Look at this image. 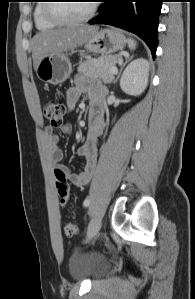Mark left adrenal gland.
I'll use <instances>...</instances> for the list:
<instances>
[{"mask_svg": "<svg viewBox=\"0 0 195 299\" xmlns=\"http://www.w3.org/2000/svg\"><path fill=\"white\" fill-rule=\"evenodd\" d=\"M131 59H132V56H131L129 59H127V60L123 63V65H122L121 68H120L119 74H118L117 78L114 80L113 83H115V82L117 81V79L120 77V74H121V72H122L124 66H125Z\"/></svg>", "mask_w": 195, "mask_h": 299, "instance_id": "obj_1", "label": "left adrenal gland"}]
</instances>
